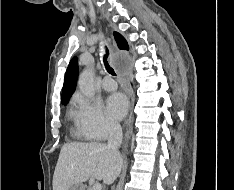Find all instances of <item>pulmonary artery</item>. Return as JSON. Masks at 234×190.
Segmentation results:
<instances>
[{
  "mask_svg": "<svg viewBox=\"0 0 234 190\" xmlns=\"http://www.w3.org/2000/svg\"><path fill=\"white\" fill-rule=\"evenodd\" d=\"M102 87L106 91H114L117 88V83L109 75H106L102 81Z\"/></svg>",
  "mask_w": 234,
  "mask_h": 190,
  "instance_id": "1",
  "label": "pulmonary artery"
}]
</instances>
